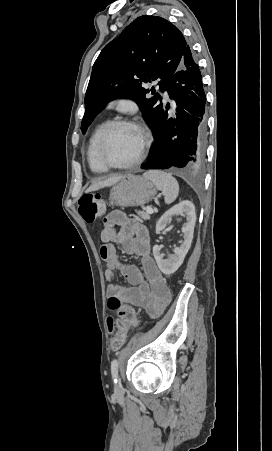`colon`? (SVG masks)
I'll return each instance as SVG.
<instances>
[{
  "mask_svg": "<svg viewBox=\"0 0 272 451\" xmlns=\"http://www.w3.org/2000/svg\"><path fill=\"white\" fill-rule=\"evenodd\" d=\"M78 211L85 223L94 224L104 212V198L101 194L92 192L82 196L78 201ZM109 307L110 313H117L119 321V333L124 337L131 325L136 324L137 314L135 310L129 306H122L120 300L116 297L107 298L105 301ZM111 323L112 320L109 319ZM111 347H121V338H111Z\"/></svg>",
  "mask_w": 272,
  "mask_h": 451,
  "instance_id": "1",
  "label": "colon"
}]
</instances>
